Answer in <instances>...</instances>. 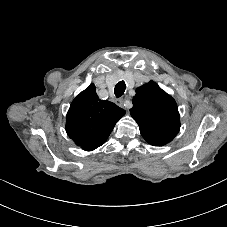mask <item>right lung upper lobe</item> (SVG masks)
<instances>
[{
  "label": "right lung upper lobe",
  "instance_id": "1",
  "mask_svg": "<svg viewBox=\"0 0 227 227\" xmlns=\"http://www.w3.org/2000/svg\"><path fill=\"white\" fill-rule=\"evenodd\" d=\"M90 84L71 103L66 116L68 136L83 150L92 151L105 143L125 110L100 100Z\"/></svg>",
  "mask_w": 227,
  "mask_h": 227
}]
</instances>
